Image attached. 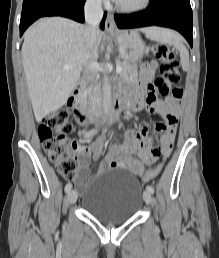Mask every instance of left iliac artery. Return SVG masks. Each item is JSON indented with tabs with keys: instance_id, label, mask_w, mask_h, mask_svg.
<instances>
[{
	"instance_id": "1",
	"label": "left iliac artery",
	"mask_w": 219,
	"mask_h": 258,
	"mask_svg": "<svg viewBox=\"0 0 219 258\" xmlns=\"http://www.w3.org/2000/svg\"><path fill=\"white\" fill-rule=\"evenodd\" d=\"M146 190L149 191L150 193H154V187L151 185L146 186Z\"/></svg>"
}]
</instances>
